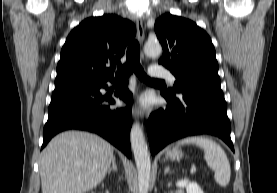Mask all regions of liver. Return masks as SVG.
Returning a JSON list of instances; mask_svg holds the SVG:
<instances>
[{"mask_svg":"<svg viewBox=\"0 0 277 193\" xmlns=\"http://www.w3.org/2000/svg\"><path fill=\"white\" fill-rule=\"evenodd\" d=\"M113 158V146L96 134L60 133L41 154L42 193H86L102 182Z\"/></svg>","mask_w":277,"mask_h":193,"instance_id":"liver-1","label":"liver"}]
</instances>
